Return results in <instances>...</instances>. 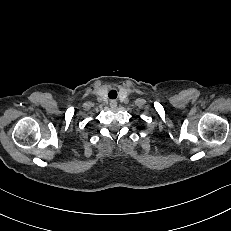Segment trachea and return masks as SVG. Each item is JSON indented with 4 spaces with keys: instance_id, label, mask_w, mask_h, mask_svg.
<instances>
[{
    "instance_id": "1",
    "label": "trachea",
    "mask_w": 231,
    "mask_h": 231,
    "mask_svg": "<svg viewBox=\"0 0 231 231\" xmlns=\"http://www.w3.org/2000/svg\"><path fill=\"white\" fill-rule=\"evenodd\" d=\"M108 96H109L110 99H116L117 98V92H116V90H111L108 93Z\"/></svg>"
}]
</instances>
